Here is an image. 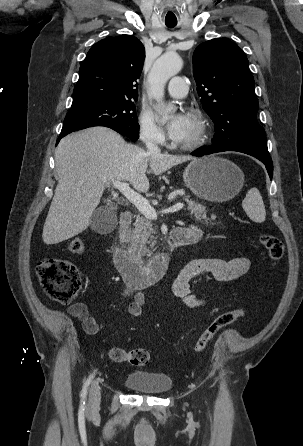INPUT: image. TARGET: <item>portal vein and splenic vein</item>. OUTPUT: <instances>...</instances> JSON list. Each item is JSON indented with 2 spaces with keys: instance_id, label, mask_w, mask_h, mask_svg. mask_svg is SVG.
Wrapping results in <instances>:
<instances>
[{
  "instance_id": "obj_1",
  "label": "portal vein and splenic vein",
  "mask_w": 303,
  "mask_h": 446,
  "mask_svg": "<svg viewBox=\"0 0 303 446\" xmlns=\"http://www.w3.org/2000/svg\"><path fill=\"white\" fill-rule=\"evenodd\" d=\"M113 186L115 189L119 190L123 196L131 202L138 211L143 214L147 219L153 220L157 219V212L153 208V206L150 205V203L140 194L135 192L133 189L129 187V184L126 182H120V181H114ZM184 207V204L181 202H178L174 204L173 206L166 208L160 213H174L176 211L181 210Z\"/></svg>"
}]
</instances>
